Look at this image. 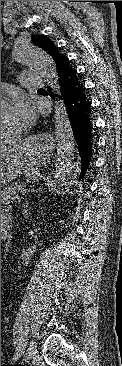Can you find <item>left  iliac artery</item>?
<instances>
[{
	"instance_id": "1",
	"label": "left iliac artery",
	"mask_w": 122,
	"mask_h": 366,
	"mask_svg": "<svg viewBox=\"0 0 122 366\" xmlns=\"http://www.w3.org/2000/svg\"><path fill=\"white\" fill-rule=\"evenodd\" d=\"M22 345L25 347L26 346V342L25 340L23 339V341H21Z\"/></svg>"
}]
</instances>
